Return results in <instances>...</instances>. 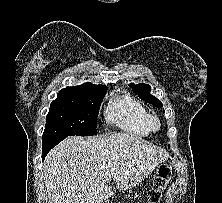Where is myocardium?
I'll use <instances>...</instances> for the list:
<instances>
[{
  "label": "myocardium",
  "mask_w": 222,
  "mask_h": 203,
  "mask_svg": "<svg viewBox=\"0 0 222 203\" xmlns=\"http://www.w3.org/2000/svg\"><path fill=\"white\" fill-rule=\"evenodd\" d=\"M149 121H150V126L153 130H158L160 128L161 123L157 116L151 115Z\"/></svg>",
  "instance_id": "obj_1"
}]
</instances>
